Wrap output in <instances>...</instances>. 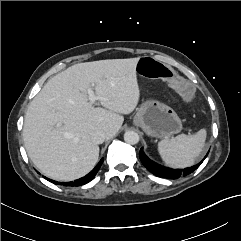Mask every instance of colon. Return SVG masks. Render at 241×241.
<instances>
[{
  "label": "colon",
  "instance_id": "colon-1",
  "mask_svg": "<svg viewBox=\"0 0 241 241\" xmlns=\"http://www.w3.org/2000/svg\"><path fill=\"white\" fill-rule=\"evenodd\" d=\"M135 70L137 74L146 78L151 76L166 87L177 88L181 93L185 94V101L191 103L193 97L191 94L195 91V86L189 80L183 77L180 72L172 71L166 62L149 56H141L136 59Z\"/></svg>",
  "mask_w": 241,
  "mask_h": 241
}]
</instances>
